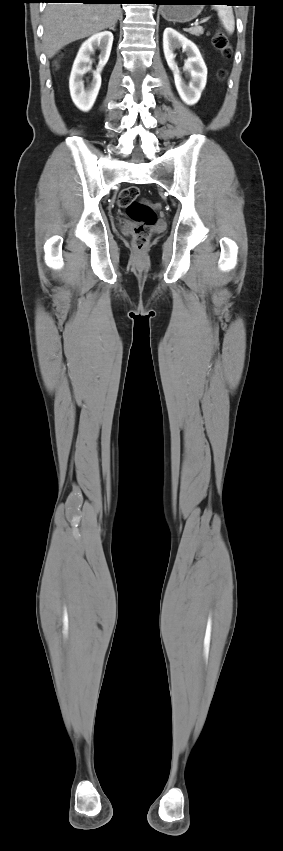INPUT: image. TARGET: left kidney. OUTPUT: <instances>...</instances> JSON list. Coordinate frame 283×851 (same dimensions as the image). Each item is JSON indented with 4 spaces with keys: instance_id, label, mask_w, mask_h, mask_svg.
Wrapping results in <instances>:
<instances>
[{
    "instance_id": "left-kidney-1",
    "label": "left kidney",
    "mask_w": 283,
    "mask_h": 851,
    "mask_svg": "<svg viewBox=\"0 0 283 851\" xmlns=\"http://www.w3.org/2000/svg\"><path fill=\"white\" fill-rule=\"evenodd\" d=\"M182 48L187 55L183 70L188 73V84L183 80L175 61V49ZM163 51L169 68L174 75L176 89L181 99L187 105L196 104L207 82V67L197 46L178 33L173 28H166L163 33Z\"/></svg>"
}]
</instances>
